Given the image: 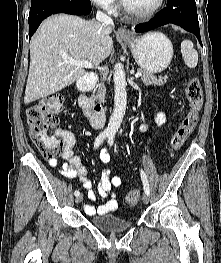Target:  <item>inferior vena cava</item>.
Returning a JSON list of instances; mask_svg holds the SVG:
<instances>
[{
  "label": "inferior vena cava",
  "instance_id": "obj_1",
  "mask_svg": "<svg viewBox=\"0 0 221 263\" xmlns=\"http://www.w3.org/2000/svg\"><path fill=\"white\" fill-rule=\"evenodd\" d=\"M96 20L103 25L111 26V27L114 26V22L112 18L106 15L105 13H103L102 11H97Z\"/></svg>",
  "mask_w": 221,
  "mask_h": 263
}]
</instances>
